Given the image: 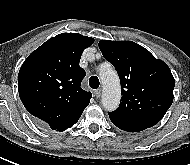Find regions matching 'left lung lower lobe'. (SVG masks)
Segmentation results:
<instances>
[{
	"label": "left lung lower lobe",
	"mask_w": 190,
	"mask_h": 165,
	"mask_svg": "<svg viewBox=\"0 0 190 165\" xmlns=\"http://www.w3.org/2000/svg\"><path fill=\"white\" fill-rule=\"evenodd\" d=\"M112 123L117 126L118 128L124 130V131H129V132H139V131H142V129L140 128H136V127H132V126H128V125H125V124H122L120 122H117V121H114L112 120Z\"/></svg>",
	"instance_id": "0a47b994"
}]
</instances>
